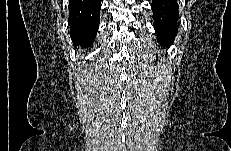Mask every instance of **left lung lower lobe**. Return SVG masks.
<instances>
[{"instance_id":"obj_1","label":"left lung lower lobe","mask_w":231,"mask_h":151,"mask_svg":"<svg viewBox=\"0 0 231 151\" xmlns=\"http://www.w3.org/2000/svg\"><path fill=\"white\" fill-rule=\"evenodd\" d=\"M151 9L157 42L168 47L178 33V3L175 0H152Z\"/></svg>"}]
</instances>
